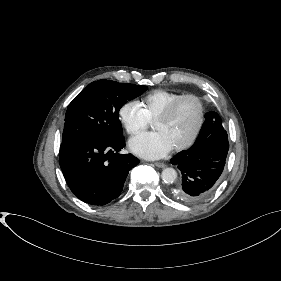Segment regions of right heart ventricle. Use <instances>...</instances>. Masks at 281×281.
<instances>
[{
    "instance_id": "1",
    "label": "right heart ventricle",
    "mask_w": 281,
    "mask_h": 281,
    "mask_svg": "<svg viewBox=\"0 0 281 281\" xmlns=\"http://www.w3.org/2000/svg\"><path fill=\"white\" fill-rule=\"evenodd\" d=\"M184 94L164 89L153 90L144 95L138 102L147 119L153 121L155 117L172 101Z\"/></svg>"
}]
</instances>
